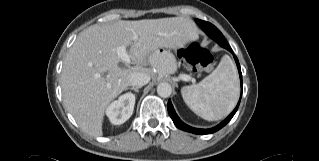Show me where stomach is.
<instances>
[{
    "label": "stomach",
    "mask_w": 319,
    "mask_h": 161,
    "mask_svg": "<svg viewBox=\"0 0 319 161\" xmlns=\"http://www.w3.org/2000/svg\"><path fill=\"white\" fill-rule=\"evenodd\" d=\"M152 61L158 71L164 75L173 74L177 70V61L170 50L157 49L151 55Z\"/></svg>",
    "instance_id": "obj_1"
}]
</instances>
